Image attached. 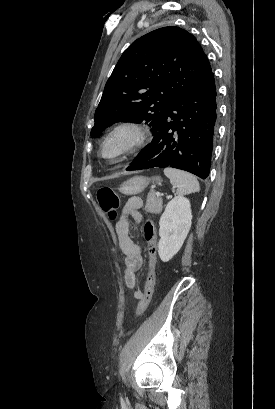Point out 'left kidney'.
Wrapping results in <instances>:
<instances>
[{"label": "left kidney", "instance_id": "5707ae66", "mask_svg": "<svg viewBox=\"0 0 275 409\" xmlns=\"http://www.w3.org/2000/svg\"><path fill=\"white\" fill-rule=\"evenodd\" d=\"M192 213L190 200L174 196L159 221L158 255L167 263L181 249L191 227Z\"/></svg>", "mask_w": 275, "mask_h": 409}]
</instances>
